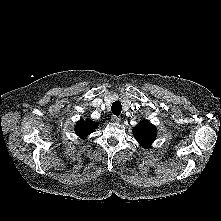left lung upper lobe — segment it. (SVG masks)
<instances>
[{"mask_svg":"<svg viewBox=\"0 0 221 221\" xmlns=\"http://www.w3.org/2000/svg\"><path fill=\"white\" fill-rule=\"evenodd\" d=\"M133 134L140 145L149 147L156 138L157 129L147 120H143L134 127Z\"/></svg>","mask_w":221,"mask_h":221,"instance_id":"left-lung-upper-lobe-1","label":"left lung upper lobe"}]
</instances>
